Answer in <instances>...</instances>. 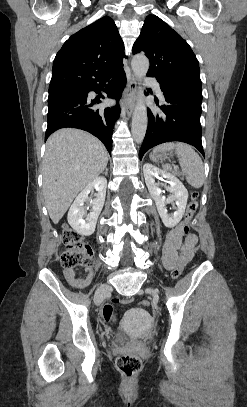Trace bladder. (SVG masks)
Segmentation results:
<instances>
[{
    "label": "bladder",
    "instance_id": "1",
    "mask_svg": "<svg viewBox=\"0 0 247 407\" xmlns=\"http://www.w3.org/2000/svg\"><path fill=\"white\" fill-rule=\"evenodd\" d=\"M115 341L117 343H127L130 341V336L126 331L120 329L115 333Z\"/></svg>",
    "mask_w": 247,
    "mask_h": 407
}]
</instances>
